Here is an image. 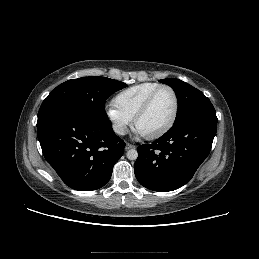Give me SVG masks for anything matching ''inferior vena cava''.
I'll return each instance as SVG.
<instances>
[{"mask_svg": "<svg viewBox=\"0 0 259 259\" xmlns=\"http://www.w3.org/2000/svg\"><path fill=\"white\" fill-rule=\"evenodd\" d=\"M113 130H114L115 133H117L119 135H125V129L120 124H114L113 125Z\"/></svg>", "mask_w": 259, "mask_h": 259, "instance_id": "1", "label": "inferior vena cava"}]
</instances>
